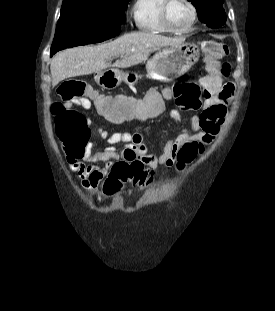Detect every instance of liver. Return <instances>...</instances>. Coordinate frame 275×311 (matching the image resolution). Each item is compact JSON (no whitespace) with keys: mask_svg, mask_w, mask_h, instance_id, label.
I'll return each mask as SVG.
<instances>
[{"mask_svg":"<svg viewBox=\"0 0 275 311\" xmlns=\"http://www.w3.org/2000/svg\"><path fill=\"white\" fill-rule=\"evenodd\" d=\"M182 42L151 32L127 33L118 39L98 46H81L58 53L51 61L52 86L62 80L97 73L110 66V59L122 57L113 66L128 68L137 65L162 47Z\"/></svg>","mask_w":275,"mask_h":311,"instance_id":"1","label":"liver"}]
</instances>
